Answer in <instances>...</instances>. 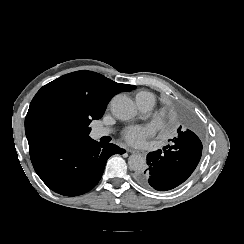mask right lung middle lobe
Instances as JSON below:
<instances>
[{"label":"right lung middle lobe","mask_w":244,"mask_h":244,"mask_svg":"<svg viewBox=\"0 0 244 244\" xmlns=\"http://www.w3.org/2000/svg\"><path fill=\"white\" fill-rule=\"evenodd\" d=\"M104 111L87 100L70 97L50 105L31 103L25 118L27 139H84L91 121L100 119Z\"/></svg>","instance_id":"obj_1"}]
</instances>
